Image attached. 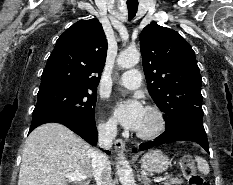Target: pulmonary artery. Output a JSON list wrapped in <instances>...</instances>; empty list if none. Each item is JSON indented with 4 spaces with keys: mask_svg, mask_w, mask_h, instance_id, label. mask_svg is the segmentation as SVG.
I'll list each match as a JSON object with an SVG mask.
<instances>
[{
    "mask_svg": "<svg viewBox=\"0 0 233 185\" xmlns=\"http://www.w3.org/2000/svg\"><path fill=\"white\" fill-rule=\"evenodd\" d=\"M117 84L128 89H136L142 84V74L139 69H129L121 75Z\"/></svg>",
    "mask_w": 233,
    "mask_h": 185,
    "instance_id": "pulmonary-artery-1",
    "label": "pulmonary artery"
}]
</instances>
